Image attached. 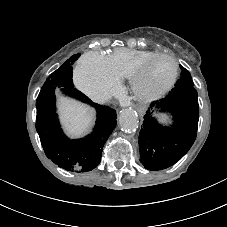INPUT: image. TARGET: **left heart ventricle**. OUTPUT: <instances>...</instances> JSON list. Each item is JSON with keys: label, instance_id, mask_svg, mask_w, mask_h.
Here are the masks:
<instances>
[{"label": "left heart ventricle", "instance_id": "left-heart-ventricle-1", "mask_svg": "<svg viewBox=\"0 0 227 227\" xmlns=\"http://www.w3.org/2000/svg\"><path fill=\"white\" fill-rule=\"evenodd\" d=\"M173 71L172 63L166 58L155 60L148 68L143 79L145 88H155L165 84L171 77Z\"/></svg>", "mask_w": 227, "mask_h": 227}]
</instances>
